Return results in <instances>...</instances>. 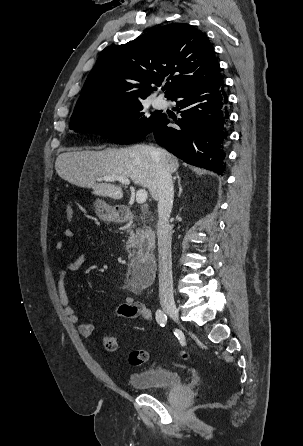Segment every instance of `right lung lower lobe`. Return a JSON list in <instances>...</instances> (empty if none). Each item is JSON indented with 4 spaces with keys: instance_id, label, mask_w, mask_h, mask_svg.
<instances>
[{
    "instance_id": "98d812e1",
    "label": "right lung lower lobe",
    "mask_w": 303,
    "mask_h": 446,
    "mask_svg": "<svg viewBox=\"0 0 303 446\" xmlns=\"http://www.w3.org/2000/svg\"><path fill=\"white\" fill-rule=\"evenodd\" d=\"M172 101L183 109L177 127H168V117L150 132L157 143L186 163L222 174L224 144L228 137V96L222 76L181 92Z\"/></svg>"
}]
</instances>
